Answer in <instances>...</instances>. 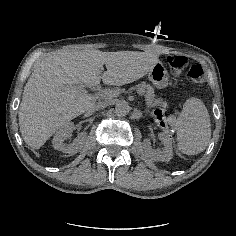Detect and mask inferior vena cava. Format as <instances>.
Instances as JSON below:
<instances>
[{
  "mask_svg": "<svg viewBox=\"0 0 236 236\" xmlns=\"http://www.w3.org/2000/svg\"><path fill=\"white\" fill-rule=\"evenodd\" d=\"M110 104H111V102L107 101V100L99 101V102H96L92 106V109H94V110H101V109H104V108L108 107Z\"/></svg>",
  "mask_w": 236,
  "mask_h": 236,
  "instance_id": "1",
  "label": "inferior vena cava"
}]
</instances>
